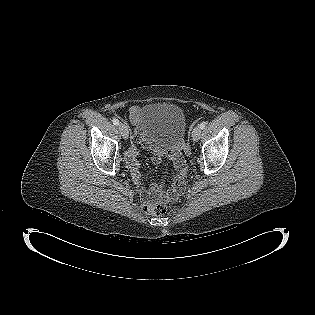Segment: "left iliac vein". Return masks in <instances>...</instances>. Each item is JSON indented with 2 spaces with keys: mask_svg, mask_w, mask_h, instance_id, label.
<instances>
[{
  "mask_svg": "<svg viewBox=\"0 0 315 315\" xmlns=\"http://www.w3.org/2000/svg\"><path fill=\"white\" fill-rule=\"evenodd\" d=\"M201 136V128L199 126L195 127L192 131V139L198 141Z\"/></svg>",
  "mask_w": 315,
  "mask_h": 315,
  "instance_id": "obj_1",
  "label": "left iliac vein"
}]
</instances>
